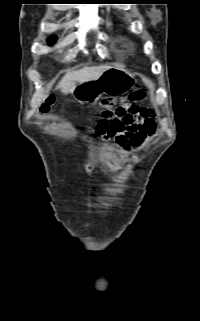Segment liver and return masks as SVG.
Listing matches in <instances>:
<instances>
[{
	"label": "liver",
	"instance_id": "liver-1",
	"mask_svg": "<svg viewBox=\"0 0 200 321\" xmlns=\"http://www.w3.org/2000/svg\"><path fill=\"white\" fill-rule=\"evenodd\" d=\"M110 66L84 68L75 72H68L58 84L64 94L72 93L78 83L98 79Z\"/></svg>",
	"mask_w": 200,
	"mask_h": 321
}]
</instances>
